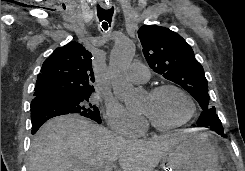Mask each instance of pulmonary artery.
Returning a JSON list of instances; mask_svg holds the SVG:
<instances>
[{"label":"pulmonary artery","instance_id":"1","mask_svg":"<svg viewBox=\"0 0 245 171\" xmlns=\"http://www.w3.org/2000/svg\"><path fill=\"white\" fill-rule=\"evenodd\" d=\"M150 78L147 66L140 62H134L128 69L127 79L133 83H144Z\"/></svg>","mask_w":245,"mask_h":171}]
</instances>
